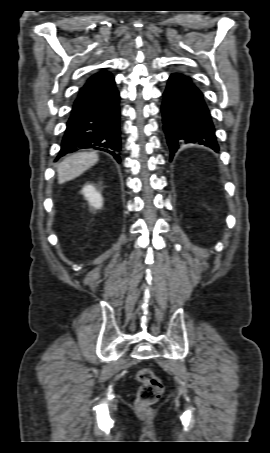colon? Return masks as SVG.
Wrapping results in <instances>:
<instances>
[{"label": "colon", "instance_id": "5ec220e1", "mask_svg": "<svg viewBox=\"0 0 270 453\" xmlns=\"http://www.w3.org/2000/svg\"><path fill=\"white\" fill-rule=\"evenodd\" d=\"M137 379L141 383L136 399V408L141 413L149 412L163 393L161 379L149 368H141L137 372Z\"/></svg>", "mask_w": 270, "mask_h": 453}]
</instances>
